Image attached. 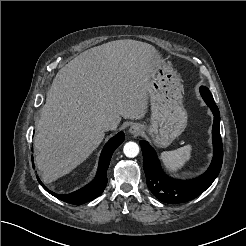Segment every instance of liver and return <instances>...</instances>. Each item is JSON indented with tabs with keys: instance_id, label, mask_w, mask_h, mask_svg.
Returning a JSON list of instances; mask_svg holds the SVG:
<instances>
[{
	"instance_id": "1",
	"label": "liver",
	"mask_w": 246,
	"mask_h": 246,
	"mask_svg": "<svg viewBox=\"0 0 246 246\" xmlns=\"http://www.w3.org/2000/svg\"><path fill=\"white\" fill-rule=\"evenodd\" d=\"M154 46L131 39L90 48L59 70L34 137L44 182L71 172L100 145L102 122L142 119L154 74Z\"/></svg>"
}]
</instances>
